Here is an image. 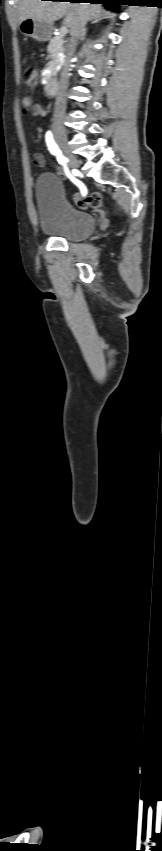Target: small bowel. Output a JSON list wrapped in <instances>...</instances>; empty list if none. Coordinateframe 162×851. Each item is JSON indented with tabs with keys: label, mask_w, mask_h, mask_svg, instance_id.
I'll list each match as a JSON object with an SVG mask.
<instances>
[{
	"label": "small bowel",
	"mask_w": 162,
	"mask_h": 851,
	"mask_svg": "<svg viewBox=\"0 0 162 851\" xmlns=\"http://www.w3.org/2000/svg\"><path fill=\"white\" fill-rule=\"evenodd\" d=\"M22 106H23L24 109H30L32 111L33 115L36 116V117H45L46 116V113H47L46 109L41 104L35 103L30 98L23 99L22 100ZM33 161H34V164L36 166L40 167V168L46 166V159L43 156V154H41L39 152L34 154Z\"/></svg>",
	"instance_id": "small-bowel-1"
}]
</instances>
